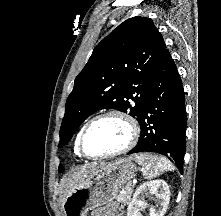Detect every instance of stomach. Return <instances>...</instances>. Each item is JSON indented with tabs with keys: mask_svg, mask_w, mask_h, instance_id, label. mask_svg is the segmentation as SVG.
Masks as SVG:
<instances>
[{
	"mask_svg": "<svg viewBox=\"0 0 221 216\" xmlns=\"http://www.w3.org/2000/svg\"><path fill=\"white\" fill-rule=\"evenodd\" d=\"M136 172L130 159L101 165L68 192L62 203L65 216H87L89 210L110 203Z\"/></svg>",
	"mask_w": 221,
	"mask_h": 216,
	"instance_id": "1",
	"label": "stomach"
}]
</instances>
